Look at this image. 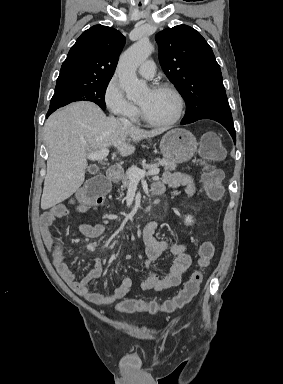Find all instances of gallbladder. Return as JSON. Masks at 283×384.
Returning a JSON list of instances; mask_svg holds the SVG:
<instances>
[{
    "mask_svg": "<svg viewBox=\"0 0 283 384\" xmlns=\"http://www.w3.org/2000/svg\"><path fill=\"white\" fill-rule=\"evenodd\" d=\"M92 172H101V165H92Z\"/></svg>",
    "mask_w": 283,
    "mask_h": 384,
    "instance_id": "1",
    "label": "gallbladder"
}]
</instances>
